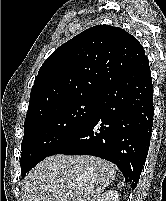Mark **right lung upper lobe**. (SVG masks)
I'll list each match as a JSON object with an SVG mask.
<instances>
[{"label":"right lung upper lobe","instance_id":"obj_1","mask_svg":"<svg viewBox=\"0 0 166 201\" xmlns=\"http://www.w3.org/2000/svg\"><path fill=\"white\" fill-rule=\"evenodd\" d=\"M144 56L138 40L121 28L97 25L83 31L41 66L26 118L74 98L101 95Z\"/></svg>","mask_w":166,"mask_h":201}]
</instances>
